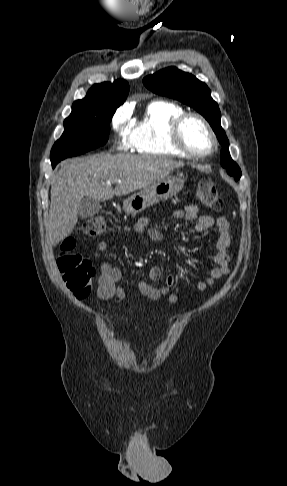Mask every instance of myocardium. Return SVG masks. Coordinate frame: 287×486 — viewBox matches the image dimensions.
Returning a JSON list of instances; mask_svg holds the SVG:
<instances>
[{
  "mask_svg": "<svg viewBox=\"0 0 287 486\" xmlns=\"http://www.w3.org/2000/svg\"><path fill=\"white\" fill-rule=\"evenodd\" d=\"M190 119H196L199 121L202 126L205 128L207 131L210 139H211V147L208 151L206 152H195L189 149L183 140V127L185 123L190 120ZM170 141L172 145L183 155L190 157V158H206L210 155H212L215 150L217 149L218 146V140L217 137L210 126L209 122L206 120L204 116H202L199 113L196 112H185L182 115H180L178 118L174 120V122L171 125L170 129Z\"/></svg>",
  "mask_w": 287,
  "mask_h": 486,
  "instance_id": "f54148a6",
  "label": "myocardium"
}]
</instances>
